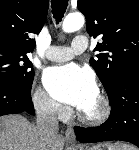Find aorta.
<instances>
[{
    "mask_svg": "<svg viewBox=\"0 0 139 150\" xmlns=\"http://www.w3.org/2000/svg\"><path fill=\"white\" fill-rule=\"evenodd\" d=\"M85 23L84 16L79 13H70L68 14L62 24V29L66 33H71L79 30Z\"/></svg>",
    "mask_w": 139,
    "mask_h": 150,
    "instance_id": "obj_1",
    "label": "aorta"
}]
</instances>
